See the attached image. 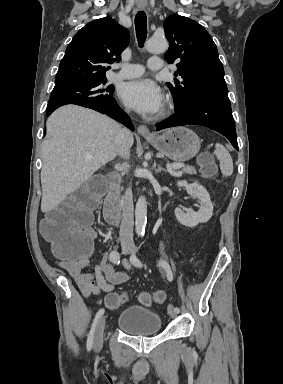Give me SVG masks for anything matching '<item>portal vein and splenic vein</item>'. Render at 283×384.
Segmentation results:
<instances>
[{"label":"portal vein and splenic vein","mask_w":283,"mask_h":384,"mask_svg":"<svg viewBox=\"0 0 283 384\" xmlns=\"http://www.w3.org/2000/svg\"><path fill=\"white\" fill-rule=\"evenodd\" d=\"M87 158L90 160L93 156H91V154H87ZM180 168H184V164H172V166H168L170 174H173V170H180Z\"/></svg>","instance_id":"1"}]
</instances>
